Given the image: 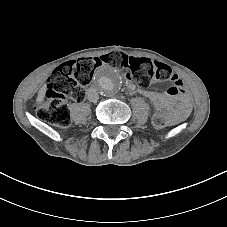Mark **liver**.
I'll return each mask as SVG.
<instances>
[{
    "label": "liver",
    "mask_w": 227,
    "mask_h": 227,
    "mask_svg": "<svg viewBox=\"0 0 227 227\" xmlns=\"http://www.w3.org/2000/svg\"><path fill=\"white\" fill-rule=\"evenodd\" d=\"M44 96H45V88L43 87L39 90L37 101H42Z\"/></svg>",
    "instance_id": "1"
}]
</instances>
